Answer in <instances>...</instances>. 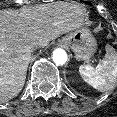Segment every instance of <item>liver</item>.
I'll use <instances>...</instances> for the list:
<instances>
[{
	"label": "liver",
	"instance_id": "6515ba94",
	"mask_svg": "<svg viewBox=\"0 0 117 117\" xmlns=\"http://www.w3.org/2000/svg\"><path fill=\"white\" fill-rule=\"evenodd\" d=\"M86 15L80 4L67 2L0 11V102L21 92L32 50L79 29Z\"/></svg>",
	"mask_w": 117,
	"mask_h": 117
}]
</instances>
